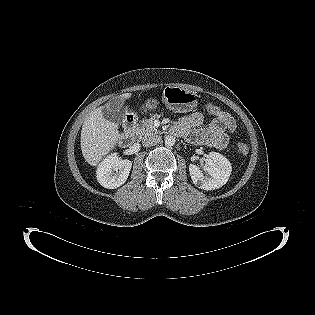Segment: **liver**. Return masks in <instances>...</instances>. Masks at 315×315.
Listing matches in <instances>:
<instances>
[{
	"mask_svg": "<svg viewBox=\"0 0 315 315\" xmlns=\"http://www.w3.org/2000/svg\"><path fill=\"white\" fill-rule=\"evenodd\" d=\"M131 94L119 96L118 108L123 106L125 99ZM104 107H99L85 118L81 130L80 145L85 161L91 166H97L102 158L111 152L121 138L116 122L107 120L102 113Z\"/></svg>",
	"mask_w": 315,
	"mask_h": 315,
	"instance_id": "6515ba94",
	"label": "liver"
}]
</instances>
